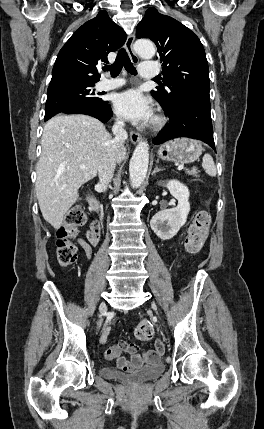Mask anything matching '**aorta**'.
Returning a JSON list of instances; mask_svg holds the SVG:
<instances>
[{"instance_id":"obj_1","label":"aorta","mask_w":264,"mask_h":429,"mask_svg":"<svg viewBox=\"0 0 264 429\" xmlns=\"http://www.w3.org/2000/svg\"><path fill=\"white\" fill-rule=\"evenodd\" d=\"M136 53L144 58L154 57L156 49L150 40L139 39L134 44ZM149 163V146L146 141H141L136 146L129 165L130 181L133 188H138L143 183Z\"/></svg>"}]
</instances>
